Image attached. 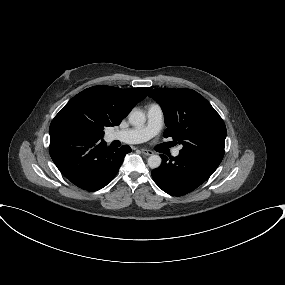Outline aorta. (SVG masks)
I'll return each mask as SVG.
<instances>
[{
    "instance_id": "762f6f07",
    "label": "aorta",
    "mask_w": 285,
    "mask_h": 285,
    "mask_svg": "<svg viewBox=\"0 0 285 285\" xmlns=\"http://www.w3.org/2000/svg\"><path fill=\"white\" fill-rule=\"evenodd\" d=\"M129 122L134 126H143L146 122L145 113L140 109L132 110L129 114ZM147 162L151 169H156L161 165L162 159L159 155H151Z\"/></svg>"
}]
</instances>
